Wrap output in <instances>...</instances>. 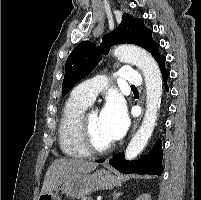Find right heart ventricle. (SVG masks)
Instances as JSON below:
<instances>
[{"label":"right heart ventricle","mask_w":201,"mask_h":200,"mask_svg":"<svg viewBox=\"0 0 201 200\" xmlns=\"http://www.w3.org/2000/svg\"><path fill=\"white\" fill-rule=\"evenodd\" d=\"M89 104L72 94L64 105L58 126V141L61 151L69 157L89 155L80 145L78 137L79 120Z\"/></svg>","instance_id":"1"}]
</instances>
